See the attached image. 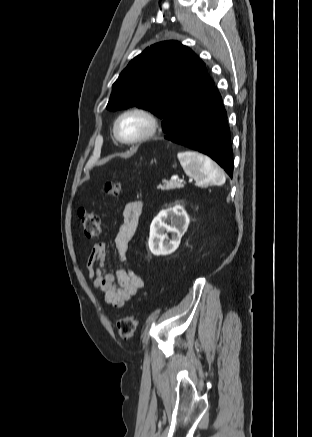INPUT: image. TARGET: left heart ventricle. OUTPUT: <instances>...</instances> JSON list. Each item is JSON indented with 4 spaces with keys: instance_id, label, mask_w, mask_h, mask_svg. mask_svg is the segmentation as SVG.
<instances>
[{
    "instance_id": "obj_1",
    "label": "left heart ventricle",
    "mask_w": 312,
    "mask_h": 437,
    "mask_svg": "<svg viewBox=\"0 0 312 437\" xmlns=\"http://www.w3.org/2000/svg\"><path fill=\"white\" fill-rule=\"evenodd\" d=\"M148 128V121L140 115H128L120 123V134L126 139L142 135Z\"/></svg>"
}]
</instances>
